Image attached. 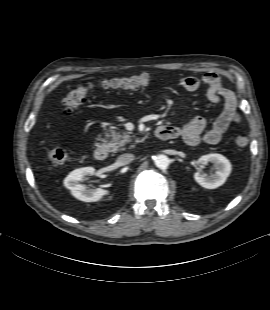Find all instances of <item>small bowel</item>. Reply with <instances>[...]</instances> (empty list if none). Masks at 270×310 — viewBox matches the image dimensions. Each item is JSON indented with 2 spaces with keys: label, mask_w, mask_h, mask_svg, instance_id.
<instances>
[{
  "label": "small bowel",
  "mask_w": 270,
  "mask_h": 310,
  "mask_svg": "<svg viewBox=\"0 0 270 310\" xmlns=\"http://www.w3.org/2000/svg\"><path fill=\"white\" fill-rule=\"evenodd\" d=\"M183 89L189 92L198 90L201 85L207 87V98L211 103L223 104V109L212 126L205 132L206 121L196 116L182 126L163 125L174 138H182L187 145L195 146L202 140L210 145L219 143L228 128L240 121L237 102L232 90L222 84L220 76L215 72H207L201 78L187 76L180 80Z\"/></svg>",
  "instance_id": "obj_1"
}]
</instances>
